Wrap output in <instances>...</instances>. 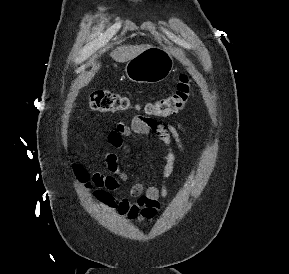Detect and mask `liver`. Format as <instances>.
I'll use <instances>...</instances> for the list:
<instances>
[{
	"label": "liver",
	"mask_w": 289,
	"mask_h": 274,
	"mask_svg": "<svg viewBox=\"0 0 289 274\" xmlns=\"http://www.w3.org/2000/svg\"><path fill=\"white\" fill-rule=\"evenodd\" d=\"M150 47L149 45H122L117 47L112 53L111 56L112 58L117 61V62H127L131 60L132 58L136 57L139 55L141 52H143L145 49ZM100 64H96L92 67V69L84 74L80 81V87L86 86L91 79L94 77L95 73L99 70Z\"/></svg>",
	"instance_id": "liver-1"
}]
</instances>
